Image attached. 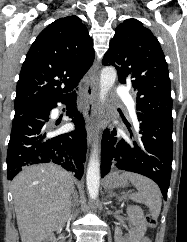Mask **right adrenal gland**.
I'll return each instance as SVG.
<instances>
[{"label":"right adrenal gland","instance_id":"1","mask_svg":"<svg viewBox=\"0 0 187 242\" xmlns=\"http://www.w3.org/2000/svg\"><path fill=\"white\" fill-rule=\"evenodd\" d=\"M77 193H75L74 194V202H73V204H72V208H74V206L76 205V203H77ZM72 217V216H71Z\"/></svg>","mask_w":187,"mask_h":242}]
</instances>
